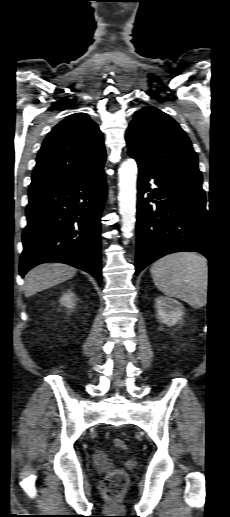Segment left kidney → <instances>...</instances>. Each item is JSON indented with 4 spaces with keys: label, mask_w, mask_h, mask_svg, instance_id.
I'll list each match as a JSON object with an SVG mask.
<instances>
[{
    "label": "left kidney",
    "mask_w": 230,
    "mask_h": 517,
    "mask_svg": "<svg viewBox=\"0 0 230 517\" xmlns=\"http://www.w3.org/2000/svg\"><path fill=\"white\" fill-rule=\"evenodd\" d=\"M155 304L159 320L169 326L178 323L184 314L183 306L175 299L159 296Z\"/></svg>",
    "instance_id": "obj_1"
}]
</instances>
